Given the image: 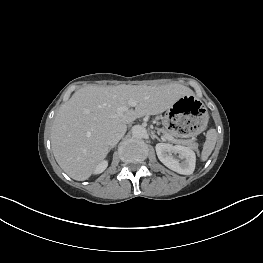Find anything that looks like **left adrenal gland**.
I'll use <instances>...</instances> for the list:
<instances>
[{
    "label": "left adrenal gland",
    "instance_id": "1",
    "mask_svg": "<svg viewBox=\"0 0 263 263\" xmlns=\"http://www.w3.org/2000/svg\"><path fill=\"white\" fill-rule=\"evenodd\" d=\"M151 138L152 139H157L158 141H162L153 131H151Z\"/></svg>",
    "mask_w": 263,
    "mask_h": 263
}]
</instances>
